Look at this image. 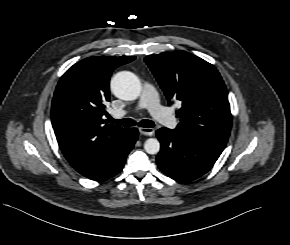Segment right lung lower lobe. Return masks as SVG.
I'll return each instance as SVG.
<instances>
[{
  "label": "right lung lower lobe",
  "mask_w": 290,
  "mask_h": 245,
  "mask_svg": "<svg viewBox=\"0 0 290 245\" xmlns=\"http://www.w3.org/2000/svg\"><path fill=\"white\" fill-rule=\"evenodd\" d=\"M138 138V130L136 128H130V134H129V143L127 148L124 150V152L118 157L111 165H109L106 169L103 171L88 177L92 180H105L108 178H111L115 176L117 173H119L125 163L126 157L129 154V152L134 147V144Z\"/></svg>",
  "instance_id": "right-lung-lower-lobe-1"
}]
</instances>
